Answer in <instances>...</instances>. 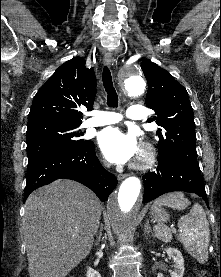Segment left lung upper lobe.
I'll return each mask as SVG.
<instances>
[{
    "label": "left lung upper lobe",
    "mask_w": 221,
    "mask_h": 277,
    "mask_svg": "<svg viewBox=\"0 0 221 277\" xmlns=\"http://www.w3.org/2000/svg\"><path fill=\"white\" fill-rule=\"evenodd\" d=\"M141 68L148 82L146 106L156 116L160 128L158 160L175 159L200 169L197 162L193 109L186 89L166 70L150 60H143Z\"/></svg>",
    "instance_id": "obj_1"
}]
</instances>
